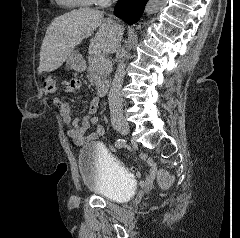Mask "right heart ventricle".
I'll return each mask as SVG.
<instances>
[{"label": "right heart ventricle", "instance_id": "obj_1", "mask_svg": "<svg viewBox=\"0 0 240 238\" xmlns=\"http://www.w3.org/2000/svg\"><path fill=\"white\" fill-rule=\"evenodd\" d=\"M60 6L74 9V8H81L87 6L88 4L83 0H55Z\"/></svg>", "mask_w": 240, "mask_h": 238}]
</instances>
